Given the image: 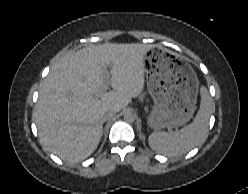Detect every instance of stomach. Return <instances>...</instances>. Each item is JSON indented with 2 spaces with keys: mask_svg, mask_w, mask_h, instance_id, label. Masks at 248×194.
<instances>
[{
  "mask_svg": "<svg viewBox=\"0 0 248 194\" xmlns=\"http://www.w3.org/2000/svg\"><path fill=\"white\" fill-rule=\"evenodd\" d=\"M143 65L154 101L149 126L160 130L186 124L196 109L199 87L193 68L174 53L155 47L147 50Z\"/></svg>",
  "mask_w": 248,
  "mask_h": 194,
  "instance_id": "obj_1",
  "label": "stomach"
}]
</instances>
